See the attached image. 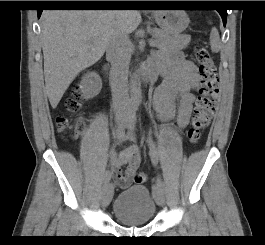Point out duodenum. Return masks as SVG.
Masks as SVG:
<instances>
[{"instance_id":"obj_1","label":"duodenum","mask_w":265,"mask_h":245,"mask_svg":"<svg viewBox=\"0 0 265 245\" xmlns=\"http://www.w3.org/2000/svg\"><path fill=\"white\" fill-rule=\"evenodd\" d=\"M141 72H142L143 82L149 83L154 78L157 71L151 65L144 64L141 68ZM110 87L112 91L119 92V86L117 84V81L113 77L110 78Z\"/></svg>"}]
</instances>
